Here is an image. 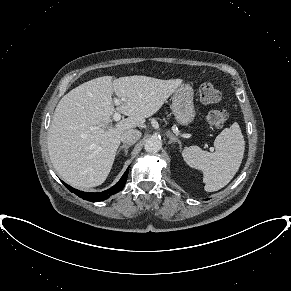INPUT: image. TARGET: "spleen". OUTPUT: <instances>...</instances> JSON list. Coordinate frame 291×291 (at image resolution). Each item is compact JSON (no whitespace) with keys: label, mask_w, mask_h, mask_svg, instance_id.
I'll use <instances>...</instances> for the list:
<instances>
[{"label":"spleen","mask_w":291,"mask_h":291,"mask_svg":"<svg viewBox=\"0 0 291 291\" xmlns=\"http://www.w3.org/2000/svg\"><path fill=\"white\" fill-rule=\"evenodd\" d=\"M215 152L203 151L198 146L184 148V161L203 172L206 192L218 191L234 177L241 165L245 141L238 123L225 128L214 141Z\"/></svg>","instance_id":"1"}]
</instances>
